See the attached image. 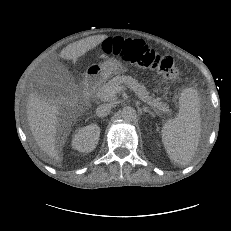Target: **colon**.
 I'll return each mask as SVG.
<instances>
[{
  "label": "colon",
  "mask_w": 231,
  "mask_h": 231,
  "mask_svg": "<svg viewBox=\"0 0 231 231\" xmlns=\"http://www.w3.org/2000/svg\"><path fill=\"white\" fill-rule=\"evenodd\" d=\"M106 55H114L124 61L145 69L160 71L168 81L179 78V70L173 56L161 55L143 41L130 38H110L102 43Z\"/></svg>",
  "instance_id": "colon-1"
}]
</instances>
